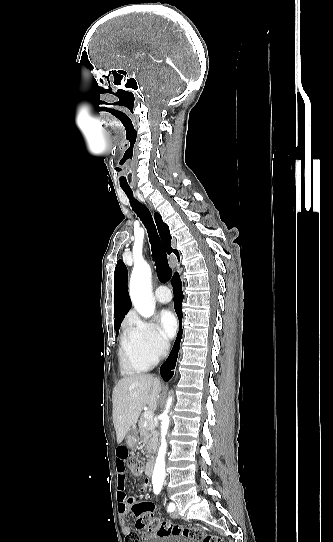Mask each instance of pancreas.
Returning <instances> with one entry per match:
<instances>
[{
	"label": "pancreas",
	"mask_w": 333,
	"mask_h": 542,
	"mask_svg": "<svg viewBox=\"0 0 333 542\" xmlns=\"http://www.w3.org/2000/svg\"><path fill=\"white\" fill-rule=\"evenodd\" d=\"M138 428L140 442H142L148 458H150V460H154V454L157 450L158 436L153 420H146L144 416H141L140 420H138Z\"/></svg>",
	"instance_id": "1"
}]
</instances>
